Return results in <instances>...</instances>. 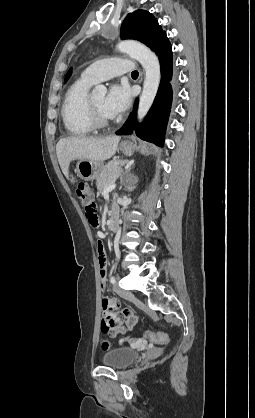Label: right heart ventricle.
Here are the masks:
<instances>
[{
  "mask_svg": "<svg viewBox=\"0 0 255 418\" xmlns=\"http://www.w3.org/2000/svg\"><path fill=\"white\" fill-rule=\"evenodd\" d=\"M91 81L81 76L68 88L61 115L65 129L73 136H86L94 131L88 112L89 89Z\"/></svg>",
  "mask_w": 255,
  "mask_h": 418,
  "instance_id": "e07e8e85",
  "label": "right heart ventricle"
}]
</instances>
